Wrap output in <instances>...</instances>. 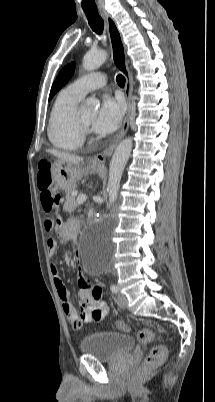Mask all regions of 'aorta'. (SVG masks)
I'll use <instances>...</instances> for the list:
<instances>
[{"instance_id":"1","label":"aorta","mask_w":215,"mask_h":402,"mask_svg":"<svg viewBox=\"0 0 215 402\" xmlns=\"http://www.w3.org/2000/svg\"><path fill=\"white\" fill-rule=\"evenodd\" d=\"M107 52L104 50H99L95 52H88L83 58V68L87 71H93L98 69L107 59ZM99 105V101L95 98H88L84 103V109L95 108ZM132 138L128 137L122 140L116 147L114 154L112 156L110 166H109V178L107 185V192L109 196V201L107 207L110 208L116 201L120 181L124 168L129 159L132 150ZM102 254L97 253L93 257H87L85 260V265L87 268H99L100 260Z\"/></svg>"}]
</instances>
